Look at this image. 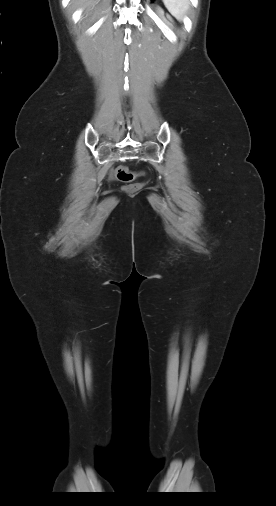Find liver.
<instances>
[{
  "instance_id": "1",
  "label": "liver",
  "mask_w": 276,
  "mask_h": 506,
  "mask_svg": "<svg viewBox=\"0 0 276 506\" xmlns=\"http://www.w3.org/2000/svg\"><path fill=\"white\" fill-rule=\"evenodd\" d=\"M72 4L75 8L86 7V14H90L96 5V0H73Z\"/></svg>"
}]
</instances>
